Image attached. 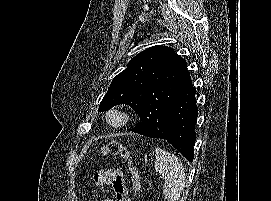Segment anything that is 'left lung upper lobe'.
<instances>
[{"mask_svg":"<svg viewBox=\"0 0 271 201\" xmlns=\"http://www.w3.org/2000/svg\"><path fill=\"white\" fill-rule=\"evenodd\" d=\"M186 65L170 47L158 45L140 52L113 78L99 111L128 104L141 119L142 134L158 138L184 82Z\"/></svg>","mask_w":271,"mask_h":201,"instance_id":"1","label":"left lung upper lobe"}]
</instances>
